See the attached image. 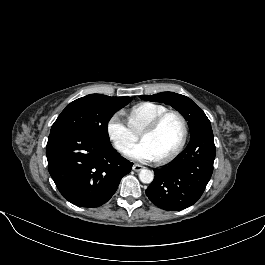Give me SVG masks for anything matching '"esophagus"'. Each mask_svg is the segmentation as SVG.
Listing matches in <instances>:
<instances>
[{"label": "esophagus", "instance_id": "1", "mask_svg": "<svg viewBox=\"0 0 265 265\" xmlns=\"http://www.w3.org/2000/svg\"><path fill=\"white\" fill-rule=\"evenodd\" d=\"M143 168H144V167H143L142 165H139V164H134V165L132 166V169H133V171H135V172H139V171H141Z\"/></svg>", "mask_w": 265, "mask_h": 265}]
</instances>
